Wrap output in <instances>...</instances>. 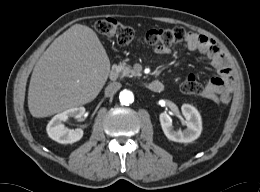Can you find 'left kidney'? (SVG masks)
<instances>
[{
	"instance_id": "5707ae66",
	"label": "left kidney",
	"mask_w": 260,
	"mask_h": 192,
	"mask_svg": "<svg viewBox=\"0 0 260 192\" xmlns=\"http://www.w3.org/2000/svg\"><path fill=\"white\" fill-rule=\"evenodd\" d=\"M181 111L186 119L187 128L185 130L175 131L172 125V119L166 112L160 114V124L165 136L169 140L180 143H189L196 140L201 134V116L198 110L189 104H183Z\"/></svg>"
}]
</instances>
